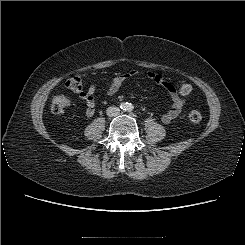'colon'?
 I'll return each instance as SVG.
<instances>
[{
  "mask_svg": "<svg viewBox=\"0 0 245 245\" xmlns=\"http://www.w3.org/2000/svg\"><path fill=\"white\" fill-rule=\"evenodd\" d=\"M68 90L73 92H82L83 80L79 74L72 75L65 83ZM180 94L187 96L192 93L193 87L189 83H181ZM70 105V99L62 94L55 95L51 101V111L55 114L64 112ZM188 118L192 123H199L202 120V115L197 110H191L188 114Z\"/></svg>",
  "mask_w": 245,
  "mask_h": 245,
  "instance_id": "5ec220e1",
  "label": "colon"
}]
</instances>
